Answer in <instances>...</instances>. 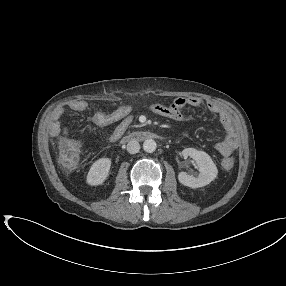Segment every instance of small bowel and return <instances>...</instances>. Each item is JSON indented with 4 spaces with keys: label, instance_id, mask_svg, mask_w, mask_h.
<instances>
[{
    "label": "small bowel",
    "instance_id": "small-bowel-1",
    "mask_svg": "<svg viewBox=\"0 0 286 286\" xmlns=\"http://www.w3.org/2000/svg\"><path fill=\"white\" fill-rule=\"evenodd\" d=\"M202 100L198 97H179L176 98L170 105L153 104L150 110L174 121H185L189 118L184 115L183 109L186 107H198L202 104ZM68 109L72 112L85 113L91 121L100 127H108L115 125V128L107 135L108 142L119 140L129 129L133 121L132 107L122 105L106 113L98 109L95 105L84 100H74L68 104ZM207 109L216 114L222 125L224 126L226 135L225 138L216 144V150L224 157H229L239 146V135L236 132L233 118L230 112L220 104L214 102L207 103ZM66 110L64 108H56L51 116L50 133L52 136H58L65 133L66 130L61 126V119L64 117Z\"/></svg>",
    "mask_w": 286,
    "mask_h": 286
}]
</instances>
